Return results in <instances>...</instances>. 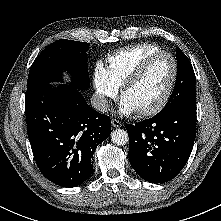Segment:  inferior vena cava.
Segmentation results:
<instances>
[{
	"label": "inferior vena cava",
	"mask_w": 221,
	"mask_h": 221,
	"mask_svg": "<svg viewBox=\"0 0 221 221\" xmlns=\"http://www.w3.org/2000/svg\"><path fill=\"white\" fill-rule=\"evenodd\" d=\"M91 105L101 112H107L109 110L108 101L106 100V97L101 94H93L91 97Z\"/></svg>",
	"instance_id": "obj_1"
}]
</instances>
